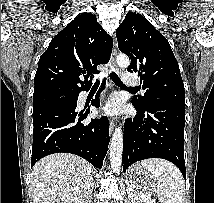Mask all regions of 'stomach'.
<instances>
[{
  "mask_svg": "<svg viewBox=\"0 0 214 203\" xmlns=\"http://www.w3.org/2000/svg\"><path fill=\"white\" fill-rule=\"evenodd\" d=\"M127 181L133 190L144 195H149L157 190L156 176L138 163L129 169Z\"/></svg>",
  "mask_w": 214,
  "mask_h": 203,
  "instance_id": "1",
  "label": "stomach"
}]
</instances>
